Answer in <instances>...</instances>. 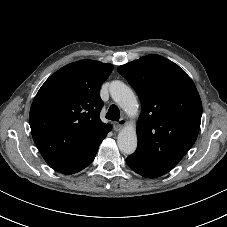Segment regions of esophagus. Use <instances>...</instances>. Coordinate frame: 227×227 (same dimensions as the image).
<instances>
[{
    "label": "esophagus",
    "mask_w": 227,
    "mask_h": 227,
    "mask_svg": "<svg viewBox=\"0 0 227 227\" xmlns=\"http://www.w3.org/2000/svg\"><path fill=\"white\" fill-rule=\"evenodd\" d=\"M127 124V120L125 118L120 119L118 122L114 123V129L119 131Z\"/></svg>",
    "instance_id": "1"
}]
</instances>
